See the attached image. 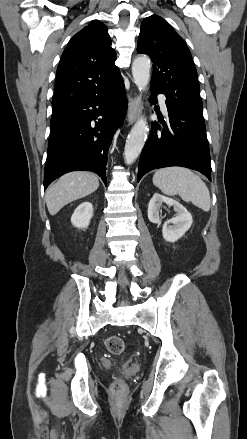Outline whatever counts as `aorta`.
Instances as JSON below:
<instances>
[{
	"label": "aorta",
	"mask_w": 247,
	"mask_h": 439,
	"mask_svg": "<svg viewBox=\"0 0 247 439\" xmlns=\"http://www.w3.org/2000/svg\"><path fill=\"white\" fill-rule=\"evenodd\" d=\"M151 62L147 56H138L132 63L134 83L139 91H145L150 80ZM148 125L141 117L131 129L124 148V160L127 165L132 164L140 155L147 139Z\"/></svg>",
	"instance_id": "1"
}]
</instances>
